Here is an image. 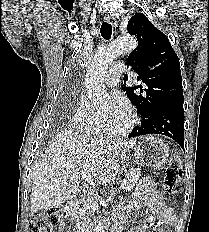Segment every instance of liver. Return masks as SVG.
<instances>
[{
    "mask_svg": "<svg viewBox=\"0 0 209 232\" xmlns=\"http://www.w3.org/2000/svg\"><path fill=\"white\" fill-rule=\"evenodd\" d=\"M136 144L92 137L72 130H63L38 156L32 173L31 213L56 207L81 189L80 176L88 172L104 184L112 180L119 169V159Z\"/></svg>",
    "mask_w": 209,
    "mask_h": 232,
    "instance_id": "6515ba94",
    "label": "liver"
}]
</instances>
